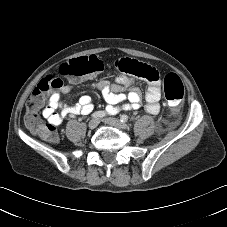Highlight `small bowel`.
Listing matches in <instances>:
<instances>
[{
	"label": "small bowel",
	"mask_w": 227,
	"mask_h": 227,
	"mask_svg": "<svg viewBox=\"0 0 227 227\" xmlns=\"http://www.w3.org/2000/svg\"><path fill=\"white\" fill-rule=\"evenodd\" d=\"M131 60L123 58L117 61L116 67L120 74L116 77L114 83L102 79L94 81L92 86L102 92V95L107 103L106 111L109 114H115L119 110H135L141 105V97L138 89L134 86V79L130 76L131 73L127 71L128 63ZM148 88L145 92V110L150 114H158L160 111L159 100L160 94V80H147ZM73 89L72 85L63 86L60 91L53 92L48 104L42 111L43 117L47 123L52 126H59L62 121L73 115H88L93 109L92 98L88 95H83L79 100L73 104L61 103V94H69ZM129 89V90H128ZM61 109L58 112V109Z\"/></svg>",
	"instance_id": "c3829d8e"
}]
</instances>
